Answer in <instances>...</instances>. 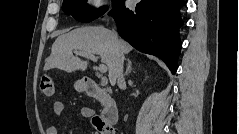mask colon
Here are the masks:
<instances>
[{"label": "colon", "mask_w": 239, "mask_h": 134, "mask_svg": "<svg viewBox=\"0 0 239 134\" xmlns=\"http://www.w3.org/2000/svg\"><path fill=\"white\" fill-rule=\"evenodd\" d=\"M40 91L43 95L51 97L55 94V83L50 76H42L40 79ZM93 124L100 134H114L111 125L104 122L100 117L93 118Z\"/></svg>", "instance_id": "obj_1"}]
</instances>
